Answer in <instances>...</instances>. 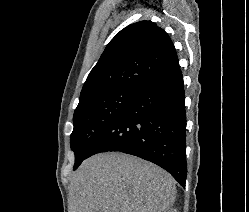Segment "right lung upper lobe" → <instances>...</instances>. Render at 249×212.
<instances>
[{"mask_svg":"<svg viewBox=\"0 0 249 212\" xmlns=\"http://www.w3.org/2000/svg\"><path fill=\"white\" fill-rule=\"evenodd\" d=\"M179 68L168 34L151 21L121 30L107 45L82 88L79 104L115 91L140 92Z\"/></svg>","mask_w":249,"mask_h":212,"instance_id":"1","label":"right lung upper lobe"}]
</instances>
